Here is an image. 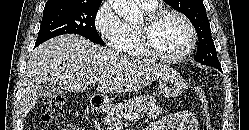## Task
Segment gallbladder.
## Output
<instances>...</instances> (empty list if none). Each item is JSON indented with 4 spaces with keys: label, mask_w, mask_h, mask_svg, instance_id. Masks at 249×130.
<instances>
[{
    "label": "gallbladder",
    "mask_w": 249,
    "mask_h": 130,
    "mask_svg": "<svg viewBox=\"0 0 249 130\" xmlns=\"http://www.w3.org/2000/svg\"><path fill=\"white\" fill-rule=\"evenodd\" d=\"M62 92L63 91L60 87H57L51 83H43L40 86L39 96L51 98V97L57 96L59 94H62Z\"/></svg>",
    "instance_id": "gallbladder-1"
}]
</instances>
